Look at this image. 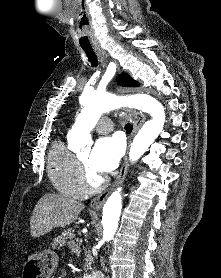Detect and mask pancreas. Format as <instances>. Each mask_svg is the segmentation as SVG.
I'll return each mask as SVG.
<instances>
[{"instance_id":"pancreas-1","label":"pancreas","mask_w":221,"mask_h":278,"mask_svg":"<svg viewBox=\"0 0 221 278\" xmlns=\"http://www.w3.org/2000/svg\"><path fill=\"white\" fill-rule=\"evenodd\" d=\"M73 238V234L70 232H64L62 235L56 237L53 240V243L51 244L53 248H60L62 245H65L67 238ZM71 250L72 252L76 253L77 255L80 254L81 250H80V246L78 244H76L74 242V240H70L69 242H67L66 244ZM86 267H91V264L93 262V257L91 256V254H87L86 255Z\"/></svg>"}]
</instances>
